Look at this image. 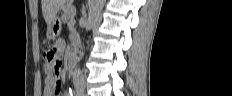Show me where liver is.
Instances as JSON below:
<instances>
[{
    "mask_svg": "<svg viewBox=\"0 0 232 96\" xmlns=\"http://www.w3.org/2000/svg\"><path fill=\"white\" fill-rule=\"evenodd\" d=\"M42 13L47 24L55 18L59 9L66 3V0H42Z\"/></svg>",
    "mask_w": 232,
    "mask_h": 96,
    "instance_id": "obj_1",
    "label": "liver"
}]
</instances>
